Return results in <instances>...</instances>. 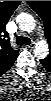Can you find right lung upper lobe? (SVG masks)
Here are the masks:
<instances>
[{"label":"right lung upper lobe","mask_w":51,"mask_h":101,"mask_svg":"<svg viewBox=\"0 0 51 101\" xmlns=\"http://www.w3.org/2000/svg\"><path fill=\"white\" fill-rule=\"evenodd\" d=\"M20 1H5L0 3V75L5 73L15 62L19 50H14L9 43L6 24Z\"/></svg>","instance_id":"1"}]
</instances>
